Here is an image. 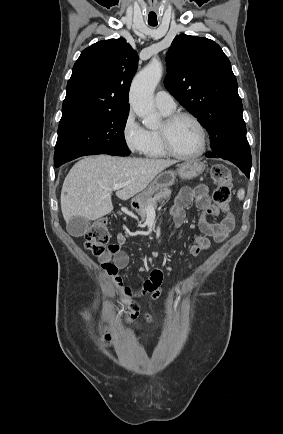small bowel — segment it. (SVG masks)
<instances>
[{"mask_svg": "<svg viewBox=\"0 0 283 434\" xmlns=\"http://www.w3.org/2000/svg\"><path fill=\"white\" fill-rule=\"evenodd\" d=\"M208 193L206 185L183 187L171 208V215L176 227H180L183 224L185 220V208L193 200H195L196 205L202 210V215L198 221L201 234L197 235L189 246V252L194 257L210 249L211 241L209 238H212L217 243H221L226 240L234 228V219L231 215H226L217 223L207 220V216H218L220 214L219 209L211 204ZM125 241V234L119 233L116 237V242L109 246L106 253L99 256V263L104 273L110 276L113 279L114 285L121 290V298L129 308L123 320L129 322L136 319L139 315V306L135 298L143 294H149L151 300L157 298L160 294L163 275L161 269L157 268L153 270L150 279L139 292H134L129 287H123L118 274L127 267L129 262L127 254L122 250V245ZM145 319L149 321L150 317L146 315ZM111 340L112 336L109 329H105L103 341L111 344Z\"/></svg>", "mask_w": 283, "mask_h": 434, "instance_id": "obj_1", "label": "small bowel"}]
</instances>
